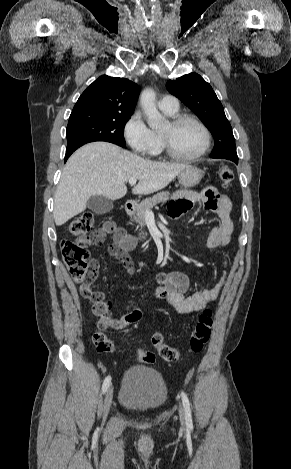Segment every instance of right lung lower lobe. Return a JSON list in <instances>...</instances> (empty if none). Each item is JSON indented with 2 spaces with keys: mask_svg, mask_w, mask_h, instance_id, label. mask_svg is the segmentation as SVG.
<instances>
[{
  "mask_svg": "<svg viewBox=\"0 0 291 469\" xmlns=\"http://www.w3.org/2000/svg\"><path fill=\"white\" fill-rule=\"evenodd\" d=\"M86 143H75V144H70L67 145L66 148V154H65V161L69 158V156L80 146L84 145Z\"/></svg>",
  "mask_w": 291,
  "mask_h": 469,
  "instance_id": "1",
  "label": "right lung lower lobe"
}]
</instances>
